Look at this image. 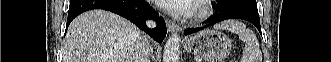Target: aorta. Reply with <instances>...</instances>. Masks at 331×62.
I'll use <instances>...</instances> for the list:
<instances>
[{
  "label": "aorta",
  "instance_id": "obj_1",
  "mask_svg": "<svg viewBox=\"0 0 331 62\" xmlns=\"http://www.w3.org/2000/svg\"><path fill=\"white\" fill-rule=\"evenodd\" d=\"M179 42L177 34H172L164 47L163 62H179Z\"/></svg>",
  "mask_w": 331,
  "mask_h": 62
}]
</instances>
